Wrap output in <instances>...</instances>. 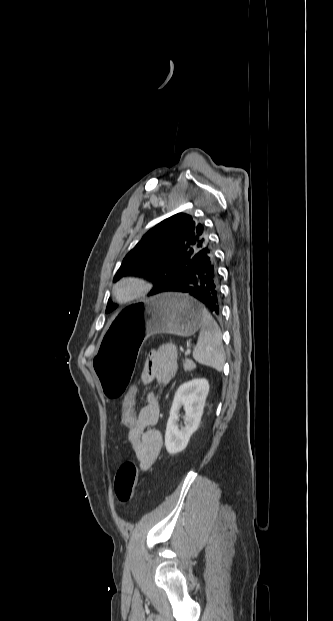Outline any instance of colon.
<instances>
[{"instance_id":"1","label":"colon","mask_w":333,"mask_h":621,"mask_svg":"<svg viewBox=\"0 0 333 621\" xmlns=\"http://www.w3.org/2000/svg\"><path fill=\"white\" fill-rule=\"evenodd\" d=\"M136 393L137 387L132 385L122 404L121 421L126 427L133 426L137 421ZM137 481L138 471L134 462L126 461L121 464L115 477V494L120 503L125 504L132 499Z\"/></svg>"}]
</instances>
